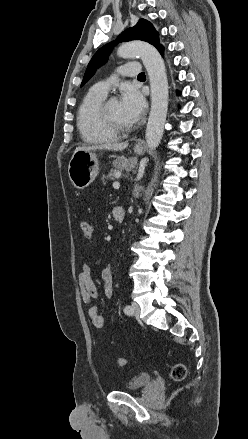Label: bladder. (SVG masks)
<instances>
[{"mask_svg":"<svg viewBox=\"0 0 248 439\" xmlns=\"http://www.w3.org/2000/svg\"><path fill=\"white\" fill-rule=\"evenodd\" d=\"M152 382V374L148 372H141L129 380L123 389L126 391H134L148 386Z\"/></svg>","mask_w":248,"mask_h":439,"instance_id":"obj_1","label":"bladder"}]
</instances>
